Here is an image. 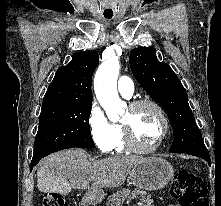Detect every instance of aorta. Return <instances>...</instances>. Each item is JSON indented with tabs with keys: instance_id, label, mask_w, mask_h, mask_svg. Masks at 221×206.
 Listing matches in <instances>:
<instances>
[{
	"instance_id": "obj_1",
	"label": "aorta",
	"mask_w": 221,
	"mask_h": 206,
	"mask_svg": "<svg viewBox=\"0 0 221 206\" xmlns=\"http://www.w3.org/2000/svg\"><path fill=\"white\" fill-rule=\"evenodd\" d=\"M119 70V59L112 56L100 65L94 79L96 97L106 111L107 117L114 122L119 120L120 114L126 107L117 91Z\"/></svg>"
}]
</instances>
